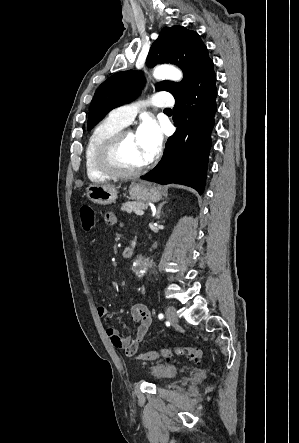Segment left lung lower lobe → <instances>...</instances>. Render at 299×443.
I'll return each instance as SVG.
<instances>
[{
    "instance_id": "0a47b994",
    "label": "left lung lower lobe",
    "mask_w": 299,
    "mask_h": 443,
    "mask_svg": "<svg viewBox=\"0 0 299 443\" xmlns=\"http://www.w3.org/2000/svg\"><path fill=\"white\" fill-rule=\"evenodd\" d=\"M216 75L212 60L175 96L174 135L167 140L157 166L141 179L160 184L179 183L202 194L207 173L210 133L216 107Z\"/></svg>"
}]
</instances>
